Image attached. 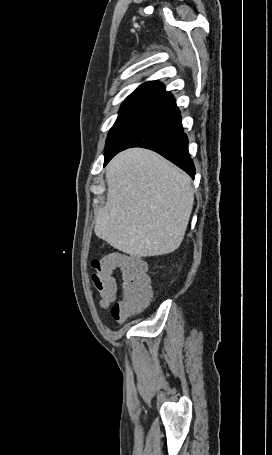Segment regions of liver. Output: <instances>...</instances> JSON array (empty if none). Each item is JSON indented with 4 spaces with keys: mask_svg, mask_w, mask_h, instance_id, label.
Masks as SVG:
<instances>
[{
    "mask_svg": "<svg viewBox=\"0 0 272 455\" xmlns=\"http://www.w3.org/2000/svg\"><path fill=\"white\" fill-rule=\"evenodd\" d=\"M107 201L95 234L115 249L140 257L175 251L194 204L190 177L147 149L116 155L106 169Z\"/></svg>",
    "mask_w": 272,
    "mask_h": 455,
    "instance_id": "1",
    "label": "liver"
}]
</instances>
